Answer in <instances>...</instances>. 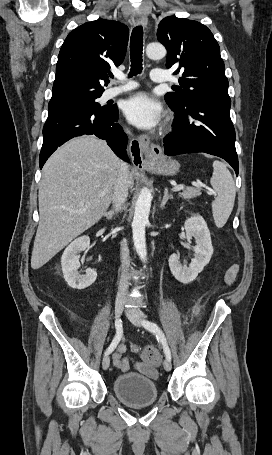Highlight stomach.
Masks as SVG:
<instances>
[{"label": "stomach", "instance_id": "stomach-1", "mask_svg": "<svg viewBox=\"0 0 272 455\" xmlns=\"http://www.w3.org/2000/svg\"><path fill=\"white\" fill-rule=\"evenodd\" d=\"M147 168L152 172L168 176L179 172L180 164L176 160L161 158L148 162Z\"/></svg>", "mask_w": 272, "mask_h": 455}]
</instances>
